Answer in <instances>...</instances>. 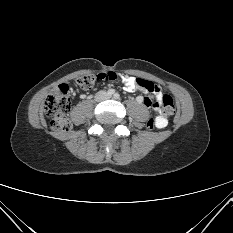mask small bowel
<instances>
[{
	"label": "small bowel",
	"mask_w": 233,
	"mask_h": 233,
	"mask_svg": "<svg viewBox=\"0 0 233 233\" xmlns=\"http://www.w3.org/2000/svg\"><path fill=\"white\" fill-rule=\"evenodd\" d=\"M96 80L97 81H102V80H110V81H122L125 85V90L126 91H134L136 89H141L138 84H137V78L132 77L130 74H123L119 72H106V73H98L96 75ZM143 90V89H141ZM145 93H147L146 90H143ZM155 95V100L156 104L154 105L155 111L157 113V116L155 118V126L156 128H164L168 124V119L166 115L161 111L160 109V104L162 100V93L160 90H158ZM137 102L142 103L146 106H150L152 104L150 98H146L143 96H138L137 97Z\"/></svg>",
	"instance_id": "obj_1"
}]
</instances>
